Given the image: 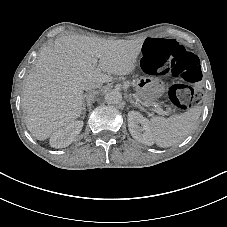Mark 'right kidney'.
I'll use <instances>...</instances> for the list:
<instances>
[{
	"label": "right kidney",
	"instance_id": "right-kidney-1",
	"mask_svg": "<svg viewBox=\"0 0 227 227\" xmlns=\"http://www.w3.org/2000/svg\"><path fill=\"white\" fill-rule=\"evenodd\" d=\"M83 122L75 121L67 127L60 129L51 137L50 145L54 148H63L70 145L82 130Z\"/></svg>",
	"mask_w": 227,
	"mask_h": 227
}]
</instances>
